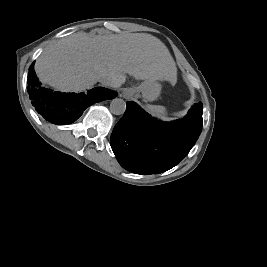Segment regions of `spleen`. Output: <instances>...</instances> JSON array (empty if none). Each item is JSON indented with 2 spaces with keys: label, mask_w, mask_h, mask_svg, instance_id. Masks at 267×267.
<instances>
[{
  "label": "spleen",
  "mask_w": 267,
  "mask_h": 267,
  "mask_svg": "<svg viewBox=\"0 0 267 267\" xmlns=\"http://www.w3.org/2000/svg\"><path fill=\"white\" fill-rule=\"evenodd\" d=\"M146 111L151 114L152 116L159 118L161 120L167 119V111L164 106L161 105H146L145 106Z\"/></svg>",
  "instance_id": "3e777b00"
}]
</instances>
